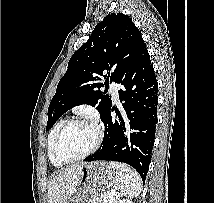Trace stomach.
Here are the masks:
<instances>
[{"label":"stomach","mask_w":214,"mask_h":203,"mask_svg":"<svg viewBox=\"0 0 214 203\" xmlns=\"http://www.w3.org/2000/svg\"><path fill=\"white\" fill-rule=\"evenodd\" d=\"M116 172L105 162L96 161L84 165L75 190L65 203H102L112 189Z\"/></svg>","instance_id":"0dacf381"}]
</instances>
